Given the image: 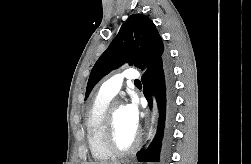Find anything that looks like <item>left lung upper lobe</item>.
<instances>
[{"label": "left lung upper lobe", "instance_id": "left-lung-upper-lobe-1", "mask_svg": "<svg viewBox=\"0 0 251 164\" xmlns=\"http://www.w3.org/2000/svg\"><path fill=\"white\" fill-rule=\"evenodd\" d=\"M163 58V42L152 20L141 14L131 15L95 63L88 80L85 99L105 75L120 65L129 62L141 68V63H144L148 72Z\"/></svg>", "mask_w": 251, "mask_h": 164}]
</instances>
